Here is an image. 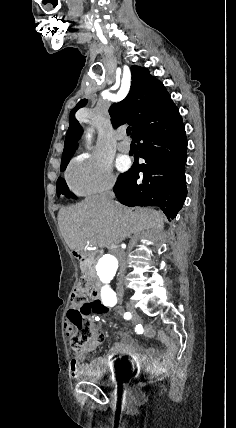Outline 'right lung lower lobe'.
I'll return each mask as SVG.
<instances>
[{
    "instance_id": "obj_1",
    "label": "right lung lower lobe",
    "mask_w": 236,
    "mask_h": 428,
    "mask_svg": "<svg viewBox=\"0 0 236 428\" xmlns=\"http://www.w3.org/2000/svg\"><path fill=\"white\" fill-rule=\"evenodd\" d=\"M140 145L145 164H133L114 186L120 203L127 206H158L168 219H174L187 195L184 165L187 140L178 108L158 115L132 135ZM140 141H143L140 144ZM139 171L144 173L142 181Z\"/></svg>"
}]
</instances>
